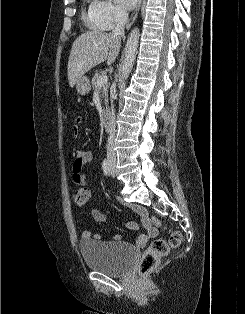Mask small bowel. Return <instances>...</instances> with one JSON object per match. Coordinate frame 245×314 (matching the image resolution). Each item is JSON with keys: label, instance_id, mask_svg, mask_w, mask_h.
I'll use <instances>...</instances> for the list:
<instances>
[{"label": "small bowel", "instance_id": "c3829d8e", "mask_svg": "<svg viewBox=\"0 0 245 314\" xmlns=\"http://www.w3.org/2000/svg\"><path fill=\"white\" fill-rule=\"evenodd\" d=\"M82 122L80 117L76 118L75 124L73 126V132L75 135L79 133V124ZM93 160V153L91 151L79 150L76 152L73 164H72V179L73 182L77 185L84 186L86 184V177L83 173V168L86 164L90 163ZM138 214L141 215L143 226L146 229V233L141 234L136 239V244L140 247H143L147 244L150 238L155 237L157 235V230L152 227L149 222L146 220V210L140 206L134 205L132 207ZM92 218L96 222H104L105 215L102 211L98 209H93L91 212ZM129 228L136 230L138 227L136 224H129ZM100 234H93L91 231L85 230L82 232L83 239H100ZM113 241H121L120 235H113Z\"/></svg>", "mask_w": 245, "mask_h": 314}]
</instances>
